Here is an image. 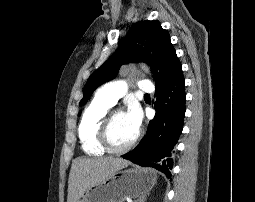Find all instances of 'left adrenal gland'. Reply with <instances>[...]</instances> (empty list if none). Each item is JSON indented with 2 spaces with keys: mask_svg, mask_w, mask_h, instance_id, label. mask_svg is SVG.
<instances>
[{
  "mask_svg": "<svg viewBox=\"0 0 255 202\" xmlns=\"http://www.w3.org/2000/svg\"><path fill=\"white\" fill-rule=\"evenodd\" d=\"M146 201V196H142L139 199H137L135 202H145Z\"/></svg>",
  "mask_w": 255,
  "mask_h": 202,
  "instance_id": "obj_1",
  "label": "left adrenal gland"
}]
</instances>
